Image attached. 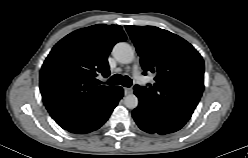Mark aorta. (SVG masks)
I'll use <instances>...</instances> for the list:
<instances>
[{
  "label": "aorta",
  "mask_w": 248,
  "mask_h": 158,
  "mask_svg": "<svg viewBox=\"0 0 248 158\" xmlns=\"http://www.w3.org/2000/svg\"><path fill=\"white\" fill-rule=\"evenodd\" d=\"M112 54L122 64H129L134 59V49L126 42L117 43L113 47ZM138 103L139 100L134 94H129L124 98V105L129 109H135Z\"/></svg>",
  "instance_id": "aorta-1"
}]
</instances>
